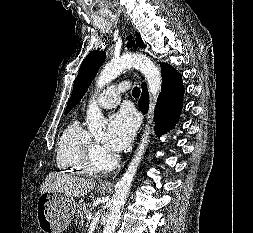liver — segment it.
I'll use <instances>...</instances> for the list:
<instances>
[{
    "mask_svg": "<svg viewBox=\"0 0 253 233\" xmlns=\"http://www.w3.org/2000/svg\"><path fill=\"white\" fill-rule=\"evenodd\" d=\"M95 187V183L86 179L73 177L59 172L49 173L43 181L40 194L44 192H59L68 197H82Z\"/></svg>",
    "mask_w": 253,
    "mask_h": 233,
    "instance_id": "liver-1",
    "label": "liver"
}]
</instances>
